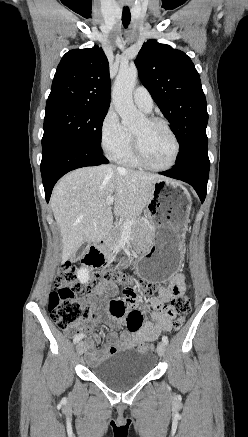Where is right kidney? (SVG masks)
<instances>
[{"label": "right kidney", "mask_w": 248, "mask_h": 437, "mask_svg": "<svg viewBox=\"0 0 248 437\" xmlns=\"http://www.w3.org/2000/svg\"><path fill=\"white\" fill-rule=\"evenodd\" d=\"M77 278L79 279L80 283L85 284L89 280V273L86 269L81 268L77 271Z\"/></svg>", "instance_id": "obj_1"}]
</instances>
